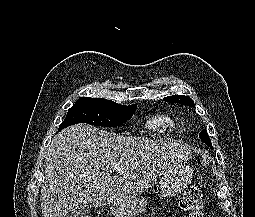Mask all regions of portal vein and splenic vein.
<instances>
[{
	"label": "portal vein and splenic vein",
	"mask_w": 255,
	"mask_h": 217,
	"mask_svg": "<svg viewBox=\"0 0 255 217\" xmlns=\"http://www.w3.org/2000/svg\"><path fill=\"white\" fill-rule=\"evenodd\" d=\"M112 172H120L121 171V166L120 164H114L111 166Z\"/></svg>",
	"instance_id": "portal-vein-and-splenic-vein-1"
}]
</instances>
